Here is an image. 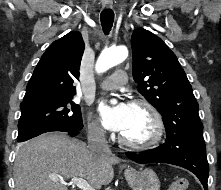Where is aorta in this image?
<instances>
[{
    "instance_id": "762f6f07",
    "label": "aorta",
    "mask_w": 221,
    "mask_h": 190,
    "mask_svg": "<svg viewBox=\"0 0 221 190\" xmlns=\"http://www.w3.org/2000/svg\"><path fill=\"white\" fill-rule=\"evenodd\" d=\"M128 56V50L126 47L120 46L116 48H110L104 50L97 62H96V71L102 73L112 68L113 66L124 61Z\"/></svg>"
}]
</instances>
